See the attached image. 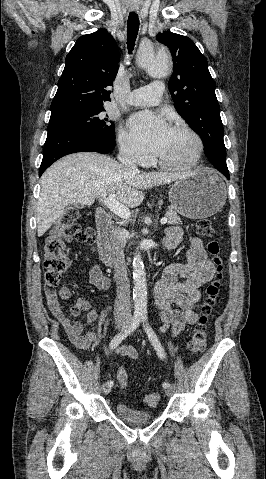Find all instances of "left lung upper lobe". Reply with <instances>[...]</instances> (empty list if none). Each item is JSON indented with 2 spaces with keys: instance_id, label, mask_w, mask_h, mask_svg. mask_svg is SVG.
Returning a JSON list of instances; mask_svg holds the SVG:
<instances>
[{
  "instance_id": "1",
  "label": "left lung upper lobe",
  "mask_w": 266,
  "mask_h": 479,
  "mask_svg": "<svg viewBox=\"0 0 266 479\" xmlns=\"http://www.w3.org/2000/svg\"><path fill=\"white\" fill-rule=\"evenodd\" d=\"M156 39L172 53L174 70L168 85L175 109L199 134L205 153L217 170H228L216 84L207 59L186 36L163 32Z\"/></svg>"
}]
</instances>
